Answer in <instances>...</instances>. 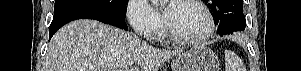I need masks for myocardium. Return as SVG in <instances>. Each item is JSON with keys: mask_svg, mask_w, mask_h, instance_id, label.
<instances>
[{"mask_svg": "<svg viewBox=\"0 0 301 71\" xmlns=\"http://www.w3.org/2000/svg\"><path fill=\"white\" fill-rule=\"evenodd\" d=\"M179 1L188 2L198 7L206 17L207 28L201 36L184 37L178 34L177 32H175V30L169 24L166 16L164 15L163 19H164V29L166 35L171 40L184 45H200L208 41L212 37L215 31V21L209 9L201 1H196V0H179Z\"/></svg>", "mask_w": 301, "mask_h": 71, "instance_id": "f54148a6", "label": "myocardium"}]
</instances>
